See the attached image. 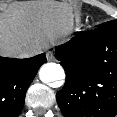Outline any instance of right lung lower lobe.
<instances>
[{"instance_id":"right-lung-lower-lobe-1","label":"right lung lower lobe","mask_w":117,"mask_h":117,"mask_svg":"<svg viewBox=\"0 0 117 117\" xmlns=\"http://www.w3.org/2000/svg\"><path fill=\"white\" fill-rule=\"evenodd\" d=\"M45 54L27 59L0 57V117H18L26 91L46 62Z\"/></svg>"}]
</instances>
